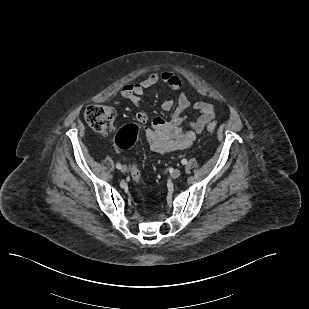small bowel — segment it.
<instances>
[{"instance_id":"1","label":"small bowel","mask_w":309,"mask_h":309,"mask_svg":"<svg viewBox=\"0 0 309 309\" xmlns=\"http://www.w3.org/2000/svg\"><path fill=\"white\" fill-rule=\"evenodd\" d=\"M160 82L170 91L179 94L177 107L169 120L162 117L152 119L150 135L155 139V144L152 147L160 153L186 149L204 131L206 125L215 118V111L212 104L204 101H198L192 104L190 96L185 92H180L182 88L180 77L171 71H163L161 73L151 72L145 79L137 83L125 85L120 93L139 109L136 114L137 121L140 124H146L148 116L142 109V95L147 89ZM174 104V100L167 96L163 99L161 108L164 111H170L174 107ZM190 108L197 111L199 116L186 129L184 125L185 113Z\"/></svg>"}]
</instances>
